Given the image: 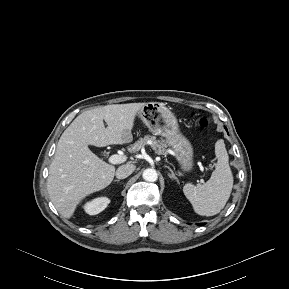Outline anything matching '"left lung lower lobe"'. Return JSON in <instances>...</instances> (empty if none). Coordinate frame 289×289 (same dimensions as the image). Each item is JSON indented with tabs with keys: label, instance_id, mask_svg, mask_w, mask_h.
Masks as SVG:
<instances>
[{
	"label": "left lung lower lobe",
	"instance_id": "obj_1",
	"mask_svg": "<svg viewBox=\"0 0 289 289\" xmlns=\"http://www.w3.org/2000/svg\"><path fill=\"white\" fill-rule=\"evenodd\" d=\"M199 226H202L203 224L202 223H200V224H198Z\"/></svg>",
	"mask_w": 289,
	"mask_h": 289
}]
</instances>
